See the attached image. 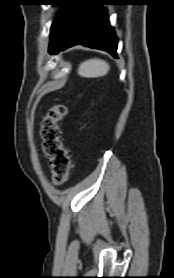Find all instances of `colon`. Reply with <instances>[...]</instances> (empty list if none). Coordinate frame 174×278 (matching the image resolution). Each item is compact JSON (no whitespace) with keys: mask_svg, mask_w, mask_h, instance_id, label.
<instances>
[{"mask_svg":"<svg viewBox=\"0 0 174 278\" xmlns=\"http://www.w3.org/2000/svg\"><path fill=\"white\" fill-rule=\"evenodd\" d=\"M67 115V106L55 104L41 123L43 151L49 161L52 180L61 185L67 181L71 168V152L64 144L61 122Z\"/></svg>","mask_w":174,"mask_h":278,"instance_id":"5ec220e1","label":"colon"}]
</instances>
